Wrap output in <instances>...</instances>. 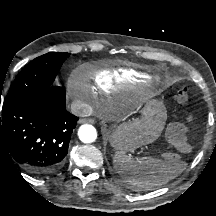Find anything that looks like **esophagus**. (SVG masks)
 Listing matches in <instances>:
<instances>
[{
    "instance_id": "34e87169",
    "label": "esophagus",
    "mask_w": 216,
    "mask_h": 216,
    "mask_svg": "<svg viewBox=\"0 0 216 216\" xmlns=\"http://www.w3.org/2000/svg\"><path fill=\"white\" fill-rule=\"evenodd\" d=\"M79 123H94V119L92 118H82L79 120Z\"/></svg>"
}]
</instances>
